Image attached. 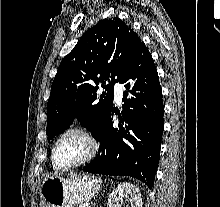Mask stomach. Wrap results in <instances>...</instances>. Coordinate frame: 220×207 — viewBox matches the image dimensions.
I'll return each instance as SVG.
<instances>
[{"mask_svg": "<svg viewBox=\"0 0 220 207\" xmlns=\"http://www.w3.org/2000/svg\"><path fill=\"white\" fill-rule=\"evenodd\" d=\"M100 187V180L89 174L49 177L40 189V207H75L95 197Z\"/></svg>", "mask_w": 220, "mask_h": 207, "instance_id": "1", "label": "stomach"}]
</instances>
